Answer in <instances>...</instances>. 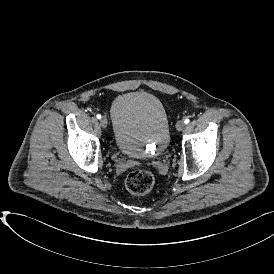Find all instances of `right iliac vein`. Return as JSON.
<instances>
[{
	"instance_id": "right-iliac-vein-1",
	"label": "right iliac vein",
	"mask_w": 274,
	"mask_h": 274,
	"mask_svg": "<svg viewBox=\"0 0 274 274\" xmlns=\"http://www.w3.org/2000/svg\"><path fill=\"white\" fill-rule=\"evenodd\" d=\"M100 125L103 127V128H106L108 126V120L106 117H102L100 119Z\"/></svg>"
}]
</instances>
